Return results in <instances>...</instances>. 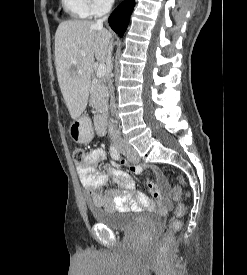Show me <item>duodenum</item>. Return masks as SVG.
Returning a JSON list of instances; mask_svg holds the SVG:
<instances>
[{
  "mask_svg": "<svg viewBox=\"0 0 247 275\" xmlns=\"http://www.w3.org/2000/svg\"><path fill=\"white\" fill-rule=\"evenodd\" d=\"M94 126L96 133L100 136H104L107 132L106 118L103 115H98L94 119Z\"/></svg>",
  "mask_w": 247,
  "mask_h": 275,
  "instance_id": "obj_1",
  "label": "duodenum"
}]
</instances>
